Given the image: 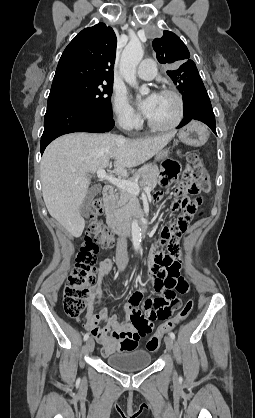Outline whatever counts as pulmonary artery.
Wrapping results in <instances>:
<instances>
[{
  "instance_id": "obj_1",
  "label": "pulmonary artery",
  "mask_w": 255,
  "mask_h": 418,
  "mask_svg": "<svg viewBox=\"0 0 255 418\" xmlns=\"http://www.w3.org/2000/svg\"><path fill=\"white\" fill-rule=\"evenodd\" d=\"M156 65L151 59H144L137 69V76L144 80H151L156 76Z\"/></svg>"
}]
</instances>
